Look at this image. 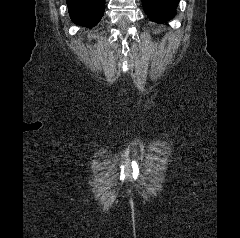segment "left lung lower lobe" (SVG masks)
<instances>
[{
	"mask_svg": "<svg viewBox=\"0 0 240 238\" xmlns=\"http://www.w3.org/2000/svg\"><path fill=\"white\" fill-rule=\"evenodd\" d=\"M179 0H142L147 16L157 23L166 22L176 14Z\"/></svg>",
	"mask_w": 240,
	"mask_h": 238,
	"instance_id": "0a47b994",
	"label": "left lung lower lobe"
}]
</instances>
